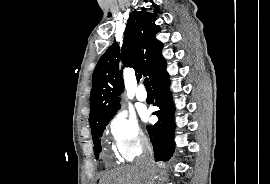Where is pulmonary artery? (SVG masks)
I'll list each match as a JSON object with an SVG mask.
<instances>
[{
	"label": "pulmonary artery",
	"mask_w": 270,
	"mask_h": 184,
	"mask_svg": "<svg viewBox=\"0 0 270 184\" xmlns=\"http://www.w3.org/2000/svg\"><path fill=\"white\" fill-rule=\"evenodd\" d=\"M136 98H137V100L142 101V102L146 101L147 94L142 87H139V89L137 90Z\"/></svg>",
	"instance_id": "1"
}]
</instances>
